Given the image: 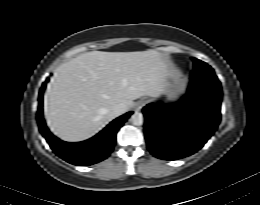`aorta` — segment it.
I'll list each match as a JSON object with an SVG mask.
<instances>
[{"instance_id":"aorta-1","label":"aorta","mask_w":260,"mask_h":205,"mask_svg":"<svg viewBox=\"0 0 260 205\" xmlns=\"http://www.w3.org/2000/svg\"><path fill=\"white\" fill-rule=\"evenodd\" d=\"M130 120L133 125L140 126L143 124V115L140 112H135L134 114H132Z\"/></svg>"}]
</instances>
